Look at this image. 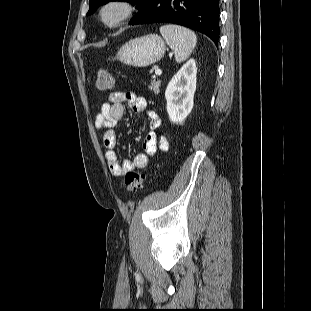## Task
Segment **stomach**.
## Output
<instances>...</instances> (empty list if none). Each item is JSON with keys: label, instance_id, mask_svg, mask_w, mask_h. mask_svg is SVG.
<instances>
[{"label": "stomach", "instance_id": "1", "mask_svg": "<svg viewBox=\"0 0 311 311\" xmlns=\"http://www.w3.org/2000/svg\"><path fill=\"white\" fill-rule=\"evenodd\" d=\"M163 39L155 34L137 37L126 42L118 50L116 59L134 67H147L159 61L165 54Z\"/></svg>", "mask_w": 311, "mask_h": 311}]
</instances>
